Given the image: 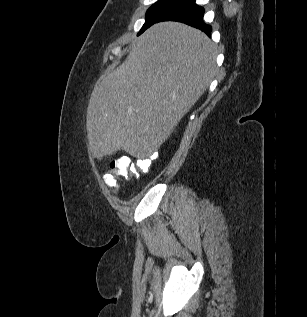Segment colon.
I'll return each instance as SVG.
<instances>
[{"label":"colon","mask_w":307,"mask_h":317,"mask_svg":"<svg viewBox=\"0 0 307 317\" xmlns=\"http://www.w3.org/2000/svg\"><path fill=\"white\" fill-rule=\"evenodd\" d=\"M154 156L146 159H137L131 161L128 158H118L111 162L110 170L103 176L104 183L112 190H117L118 180H129L140 173H146Z\"/></svg>","instance_id":"colon-1"}]
</instances>
